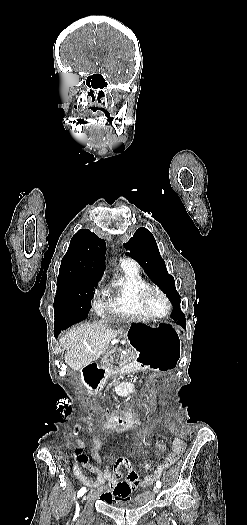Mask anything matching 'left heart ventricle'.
I'll return each mask as SVG.
<instances>
[{
    "mask_svg": "<svg viewBox=\"0 0 247 525\" xmlns=\"http://www.w3.org/2000/svg\"><path fill=\"white\" fill-rule=\"evenodd\" d=\"M145 304L148 308L155 312H163L166 309V302L164 298L156 291H147L144 295Z\"/></svg>",
    "mask_w": 247,
    "mask_h": 525,
    "instance_id": "b2bd125f",
    "label": "left heart ventricle"
}]
</instances>
